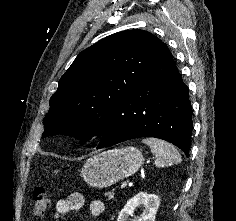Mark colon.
<instances>
[{"label": "colon", "mask_w": 236, "mask_h": 221, "mask_svg": "<svg viewBox=\"0 0 236 221\" xmlns=\"http://www.w3.org/2000/svg\"><path fill=\"white\" fill-rule=\"evenodd\" d=\"M49 197L43 187H37L33 192V209L37 216H42L49 208Z\"/></svg>", "instance_id": "colon-1"}]
</instances>
